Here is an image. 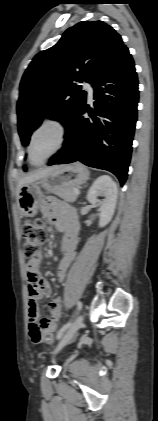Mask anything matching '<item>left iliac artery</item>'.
Wrapping results in <instances>:
<instances>
[{"mask_svg": "<svg viewBox=\"0 0 158 421\" xmlns=\"http://www.w3.org/2000/svg\"><path fill=\"white\" fill-rule=\"evenodd\" d=\"M82 309V303L80 301L77 302V310L78 312H80ZM72 322H68L67 324H65L57 333V339H60L62 337V335L64 334V332L71 326Z\"/></svg>", "mask_w": 158, "mask_h": 421, "instance_id": "44dca946", "label": "left iliac artery"}]
</instances>
